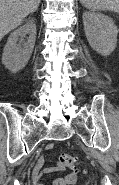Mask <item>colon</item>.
Returning <instances> with one entry per match:
<instances>
[{
    "mask_svg": "<svg viewBox=\"0 0 119 185\" xmlns=\"http://www.w3.org/2000/svg\"><path fill=\"white\" fill-rule=\"evenodd\" d=\"M59 164L75 171L78 169L77 160L69 154H61L59 156Z\"/></svg>",
    "mask_w": 119,
    "mask_h": 185,
    "instance_id": "5ec220e1",
    "label": "colon"
}]
</instances>
